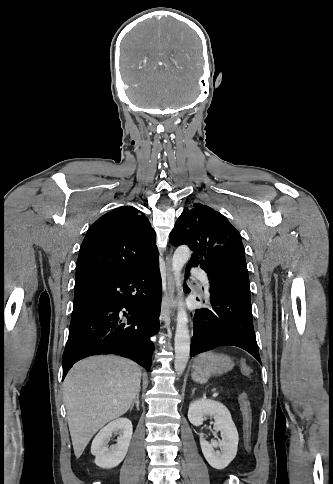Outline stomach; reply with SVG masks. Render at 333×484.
Returning a JSON list of instances; mask_svg holds the SVG:
<instances>
[{
	"label": "stomach",
	"instance_id": "1",
	"mask_svg": "<svg viewBox=\"0 0 333 484\" xmlns=\"http://www.w3.org/2000/svg\"><path fill=\"white\" fill-rule=\"evenodd\" d=\"M234 366L232 358L225 354L207 352L197 356L192 365V379L204 384L212 375L223 374Z\"/></svg>",
	"mask_w": 333,
	"mask_h": 484
}]
</instances>
